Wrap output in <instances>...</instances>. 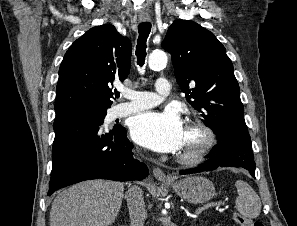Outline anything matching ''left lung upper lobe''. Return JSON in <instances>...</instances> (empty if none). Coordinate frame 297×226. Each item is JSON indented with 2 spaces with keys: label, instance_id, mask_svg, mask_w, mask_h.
<instances>
[{
  "label": "left lung upper lobe",
  "instance_id": "1",
  "mask_svg": "<svg viewBox=\"0 0 297 226\" xmlns=\"http://www.w3.org/2000/svg\"><path fill=\"white\" fill-rule=\"evenodd\" d=\"M161 45L172 56L187 101L216 136L249 135L233 64L215 35L196 22L176 20Z\"/></svg>",
  "mask_w": 297,
  "mask_h": 226
}]
</instances>
